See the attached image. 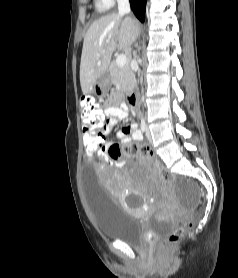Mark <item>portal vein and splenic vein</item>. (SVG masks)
Wrapping results in <instances>:
<instances>
[{"instance_id": "1", "label": "portal vein and splenic vein", "mask_w": 238, "mask_h": 278, "mask_svg": "<svg viewBox=\"0 0 238 278\" xmlns=\"http://www.w3.org/2000/svg\"><path fill=\"white\" fill-rule=\"evenodd\" d=\"M127 63V57L124 54L118 55L116 59V64L119 67H123Z\"/></svg>"}]
</instances>
